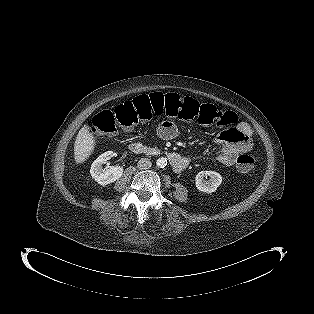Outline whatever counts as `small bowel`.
Masks as SVG:
<instances>
[{
    "instance_id": "obj_1",
    "label": "small bowel",
    "mask_w": 314,
    "mask_h": 314,
    "mask_svg": "<svg viewBox=\"0 0 314 314\" xmlns=\"http://www.w3.org/2000/svg\"><path fill=\"white\" fill-rule=\"evenodd\" d=\"M226 112L230 115L227 125L236 123V114L231 111ZM157 134L163 140H171L177 136L178 127L173 121L165 120L159 124ZM251 134L250 126L245 122L223 130L215 139V143L219 147L215 160L226 166L233 165L240 154L247 153L252 149Z\"/></svg>"
}]
</instances>
